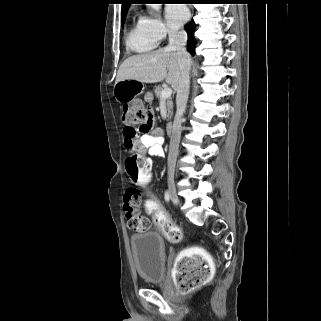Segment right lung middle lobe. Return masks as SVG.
Returning a JSON list of instances; mask_svg holds the SVG:
<instances>
[{
    "mask_svg": "<svg viewBox=\"0 0 321 321\" xmlns=\"http://www.w3.org/2000/svg\"><path fill=\"white\" fill-rule=\"evenodd\" d=\"M125 17H126V13L122 14V19H121V23H123V22H124V20H125Z\"/></svg>",
    "mask_w": 321,
    "mask_h": 321,
    "instance_id": "dd1d6c3e",
    "label": "right lung middle lobe"
}]
</instances>
